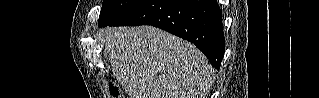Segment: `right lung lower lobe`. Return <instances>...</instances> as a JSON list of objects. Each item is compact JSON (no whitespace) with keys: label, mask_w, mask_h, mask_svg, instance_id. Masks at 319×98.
I'll return each instance as SVG.
<instances>
[{"label":"right lung lower lobe","mask_w":319,"mask_h":98,"mask_svg":"<svg viewBox=\"0 0 319 98\" xmlns=\"http://www.w3.org/2000/svg\"><path fill=\"white\" fill-rule=\"evenodd\" d=\"M152 25L194 43L219 69L225 52L217 0H147L109 26ZM108 26V25H107Z\"/></svg>","instance_id":"right-lung-lower-lobe-1"}]
</instances>
